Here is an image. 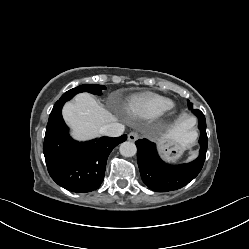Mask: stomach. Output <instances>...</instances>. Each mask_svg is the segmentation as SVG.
<instances>
[{
    "mask_svg": "<svg viewBox=\"0 0 249 249\" xmlns=\"http://www.w3.org/2000/svg\"><path fill=\"white\" fill-rule=\"evenodd\" d=\"M158 143L161 155L168 161L178 160L187 147L179 138L171 135L161 137Z\"/></svg>",
    "mask_w": 249,
    "mask_h": 249,
    "instance_id": "0dacf381",
    "label": "stomach"
}]
</instances>
